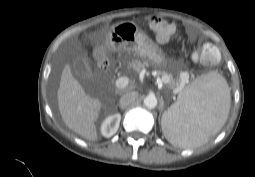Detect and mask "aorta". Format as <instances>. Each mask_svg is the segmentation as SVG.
<instances>
[{"instance_id": "obj_1", "label": "aorta", "mask_w": 255, "mask_h": 177, "mask_svg": "<svg viewBox=\"0 0 255 177\" xmlns=\"http://www.w3.org/2000/svg\"><path fill=\"white\" fill-rule=\"evenodd\" d=\"M144 105L149 109L155 108L157 105V98L154 95L146 96L144 99Z\"/></svg>"}]
</instances>
